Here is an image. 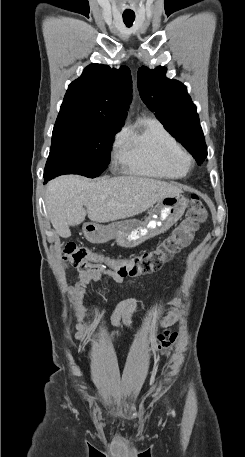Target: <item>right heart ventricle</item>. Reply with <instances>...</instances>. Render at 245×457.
Segmentation results:
<instances>
[{"label": "right heart ventricle", "mask_w": 245, "mask_h": 457, "mask_svg": "<svg viewBox=\"0 0 245 457\" xmlns=\"http://www.w3.org/2000/svg\"><path fill=\"white\" fill-rule=\"evenodd\" d=\"M181 151L175 137L156 119H143L126 126L116 153L141 174L177 179L187 174L178 160Z\"/></svg>", "instance_id": "obj_1"}]
</instances>
